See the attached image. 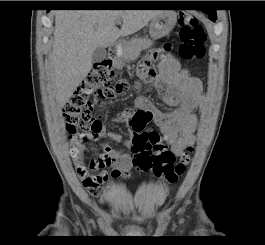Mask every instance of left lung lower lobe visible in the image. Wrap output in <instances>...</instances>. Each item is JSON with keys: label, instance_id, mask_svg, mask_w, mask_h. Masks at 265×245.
<instances>
[{"label": "left lung lower lobe", "instance_id": "1", "mask_svg": "<svg viewBox=\"0 0 265 245\" xmlns=\"http://www.w3.org/2000/svg\"><path fill=\"white\" fill-rule=\"evenodd\" d=\"M204 11L205 13H207L209 15V19L214 21L213 17H215V10H202Z\"/></svg>", "mask_w": 265, "mask_h": 245}]
</instances>
